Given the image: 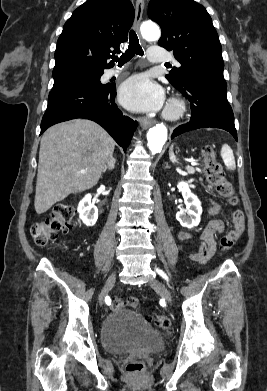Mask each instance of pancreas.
Masks as SVG:
<instances>
[{"label": "pancreas", "instance_id": "obj_1", "mask_svg": "<svg viewBox=\"0 0 267 391\" xmlns=\"http://www.w3.org/2000/svg\"><path fill=\"white\" fill-rule=\"evenodd\" d=\"M186 170H187V173H189V174H193L195 172V168L191 167V166H187Z\"/></svg>", "mask_w": 267, "mask_h": 391}]
</instances>
